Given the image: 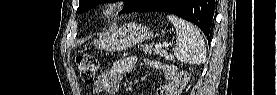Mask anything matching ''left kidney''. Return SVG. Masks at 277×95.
<instances>
[{
	"label": "left kidney",
	"instance_id": "left-kidney-1",
	"mask_svg": "<svg viewBox=\"0 0 277 95\" xmlns=\"http://www.w3.org/2000/svg\"><path fill=\"white\" fill-rule=\"evenodd\" d=\"M182 75L184 76L183 73H182ZM182 75L179 76V74H176L174 76L173 81L169 85L168 92H170V93L176 92L178 90L177 85L178 86L180 85V87L183 86L185 79L181 78Z\"/></svg>",
	"mask_w": 277,
	"mask_h": 95
}]
</instances>
